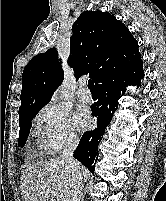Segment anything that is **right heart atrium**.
Instances as JSON below:
<instances>
[{"instance_id": "obj_1", "label": "right heart atrium", "mask_w": 166, "mask_h": 201, "mask_svg": "<svg viewBox=\"0 0 166 201\" xmlns=\"http://www.w3.org/2000/svg\"><path fill=\"white\" fill-rule=\"evenodd\" d=\"M40 147L47 154H56L63 148L74 146L78 136L68 111L59 104L49 103L36 115Z\"/></svg>"}]
</instances>
